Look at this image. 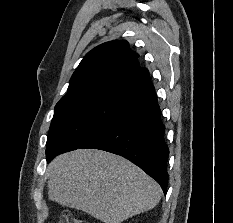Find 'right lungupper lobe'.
<instances>
[{
  "instance_id": "cb5924a9",
  "label": "right lung upper lobe",
  "mask_w": 233,
  "mask_h": 223,
  "mask_svg": "<svg viewBox=\"0 0 233 223\" xmlns=\"http://www.w3.org/2000/svg\"><path fill=\"white\" fill-rule=\"evenodd\" d=\"M150 80L149 72L141 68L138 54L130 50L125 40H115L92 49L73 73L64 96L90 91H124Z\"/></svg>"
}]
</instances>
